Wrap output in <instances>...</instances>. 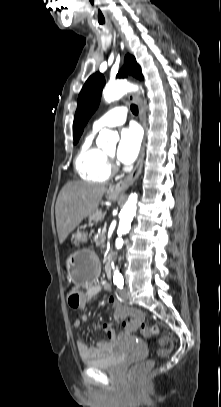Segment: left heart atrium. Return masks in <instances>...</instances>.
<instances>
[{
  "instance_id": "1",
  "label": "left heart atrium",
  "mask_w": 221,
  "mask_h": 407,
  "mask_svg": "<svg viewBox=\"0 0 221 407\" xmlns=\"http://www.w3.org/2000/svg\"><path fill=\"white\" fill-rule=\"evenodd\" d=\"M141 144V133L137 127L131 126L121 131L117 158L123 164L132 163L138 156Z\"/></svg>"
}]
</instances>
